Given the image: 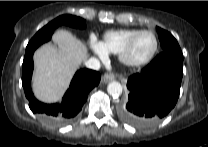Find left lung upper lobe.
Instances as JSON below:
<instances>
[{
	"instance_id": "left-lung-upper-lobe-1",
	"label": "left lung upper lobe",
	"mask_w": 208,
	"mask_h": 147,
	"mask_svg": "<svg viewBox=\"0 0 208 147\" xmlns=\"http://www.w3.org/2000/svg\"><path fill=\"white\" fill-rule=\"evenodd\" d=\"M156 30L158 32V37L161 42L163 52H174L179 55H182L177 40L173 37V35L170 32L163 30L159 27H156Z\"/></svg>"
}]
</instances>
